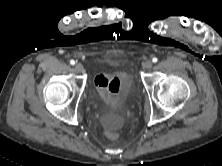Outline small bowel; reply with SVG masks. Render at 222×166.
<instances>
[{"label": "small bowel", "instance_id": "c3829d8e", "mask_svg": "<svg viewBox=\"0 0 222 166\" xmlns=\"http://www.w3.org/2000/svg\"><path fill=\"white\" fill-rule=\"evenodd\" d=\"M94 84L100 98L110 105L123 99L129 88V80L124 72L101 73L95 78Z\"/></svg>", "mask_w": 222, "mask_h": 166}]
</instances>
